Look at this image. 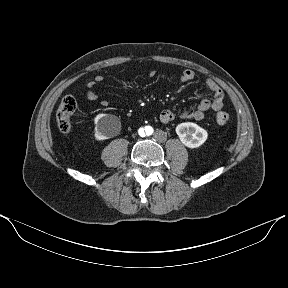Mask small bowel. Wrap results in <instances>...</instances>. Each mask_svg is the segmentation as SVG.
Here are the masks:
<instances>
[{
    "mask_svg": "<svg viewBox=\"0 0 288 288\" xmlns=\"http://www.w3.org/2000/svg\"><path fill=\"white\" fill-rule=\"evenodd\" d=\"M121 74V73H119ZM195 73L191 69H182L180 71V81L183 83L190 82L194 79ZM104 81V76L97 75L93 81L88 83L87 86V98L92 102H97L99 100L98 94L95 92V88L98 84ZM204 86L206 89V96L200 101V103L194 107L181 111L179 114L171 110H163L159 119L162 123H170L176 118L184 120H202L205 114L209 110L219 111L223 107L224 93L222 89L212 80L206 79L204 81ZM99 105L103 108L109 106V102L102 100Z\"/></svg>",
    "mask_w": 288,
    "mask_h": 288,
    "instance_id": "small-bowel-1",
    "label": "small bowel"
}]
</instances>
